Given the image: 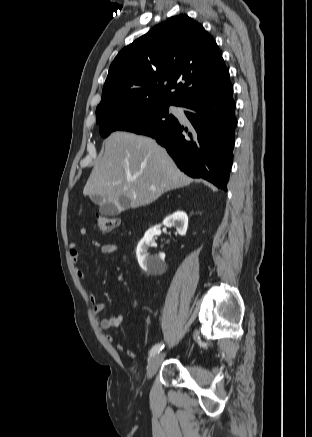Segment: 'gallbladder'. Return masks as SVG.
I'll use <instances>...</instances> for the list:
<instances>
[{
  "label": "gallbladder",
  "instance_id": "obj_1",
  "mask_svg": "<svg viewBox=\"0 0 312 437\" xmlns=\"http://www.w3.org/2000/svg\"><path fill=\"white\" fill-rule=\"evenodd\" d=\"M90 198L92 202L100 206L99 212L104 216H117L123 209L129 206V200L124 197H121L118 203L104 200L99 195H93Z\"/></svg>",
  "mask_w": 312,
  "mask_h": 437
}]
</instances>
